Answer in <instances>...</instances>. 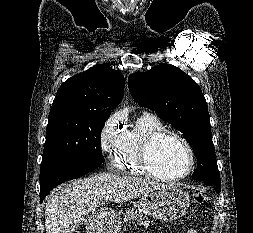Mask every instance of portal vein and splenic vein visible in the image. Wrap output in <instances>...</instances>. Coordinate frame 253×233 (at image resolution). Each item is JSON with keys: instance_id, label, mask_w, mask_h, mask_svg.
<instances>
[{"instance_id": "obj_1", "label": "portal vein and splenic vein", "mask_w": 253, "mask_h": 233, "mask_svg": "<svg viewBox=\"0 0 253 233\" xmlns=\"http://www.w3.org/2000/svg\"><path fill=\"white\" fill-rule=\"evenodd\" d=\"M112 199V195H107L105 200L108 201V200H111Z\"/></svg>"}]
</instances>
